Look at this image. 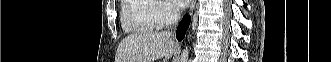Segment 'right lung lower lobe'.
<instances>
[{
  "label": "right lung lower lobe",
  "instance_id": "obj_1",
  "mask_svg": "<svg viewBox=\"0 0 331 62\" xmlns=\"http://www.w3.org/2000/svg\"><path fill=\"white\" fill-rule=\"evenodd\" d=\"M189 23H190V17L188 15H185L182 21L180 22L176 32V37L179 41H181L184 38Z\"/></svg>",
  "mask_w": 331,
  "mask_h": 62
}]
</instances>
